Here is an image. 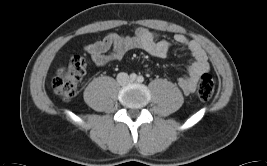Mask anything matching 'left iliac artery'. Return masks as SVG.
Returning a JSON list of instances; mask_svg holds the SVG:
<instances>
[{"label":"left iliac artery","instance_id":"obj_1","mask_svg":"<svg viewBox=\"0 0 267 166\" xmlns=\"http://www.w3.org/2000/svg\"><path fill=\"white\" fill-rule=\"evenodd\" d=\"M137 81H138L139 83H142V82L144 81L143 76H139V77L137 78Z\"/></svg>","mask_w":267,"mask_h":166}]
</instances>
